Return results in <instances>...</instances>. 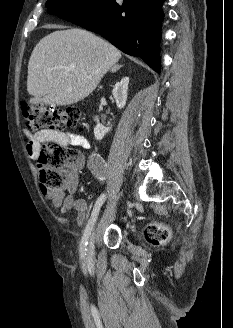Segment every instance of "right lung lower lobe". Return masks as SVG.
Listing matches in <instances>:
<instances>
[{
	"mask_svg": "<svg viewBox=\"0 0 233 328\" xmlns=\"http://www.w3.org/2000/svg\"><path fill=\"white\" fill-rule=\"evenodd\" d=\"M165 0H100L64 19L99 32L114 46L131 56H139L160 72L159 41Z\"/></svg>",
	"mask_w": 233,
	"mask_h": 328,
	"instance_id": "1",
	"label": "right lung lower lobe"
}]
</instances>
